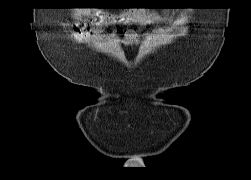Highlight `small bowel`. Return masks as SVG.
Here are the masks:
<instances>
[{
	"instance_id": "1",
	"label": "small bowel",
	"mask_w": 251,
	"mask_h": 180,
	"mask_svg": "<svg viewBox=\"0 0 251 180\" xmlns=\"http://www.w3.org/2000/svg\"><path fill=\"white\" fill-rule=\"evenodd\" d=\"M97 23L99 25H111L116 23L129 25H147L161 20L158 13L145 10H130L121 14L110 12H98ZM139 40V36L134 30H128L123 38L125 44H132Z\"/></svg>"
}]
</instances>
